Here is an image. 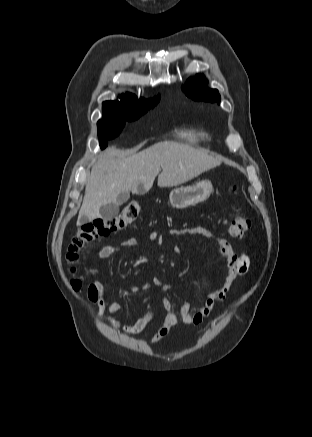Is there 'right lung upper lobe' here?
Instances as JSON below:
<instances>
[{"instance_id": "right-lung-upper-lobe-1", "label": "right lung upper lobe", "mask_w": 312, "mask_h": 437, "mask_svg": "<svg viewBox=\"0 0 312 437\" xmlns=\"http://www.w3.org/2000/svg\"><path fill=\"white\" fill-rule=\"evenodd\" d=\"M159 97L152 100L138 99L133 94L122 95L121 101L103 102V116L116 118H131L144 114L150 107L159 102Z\"/></svg>"}]
</instances>
